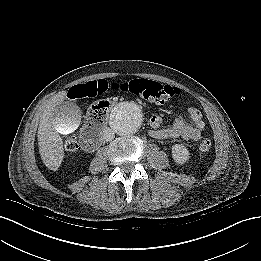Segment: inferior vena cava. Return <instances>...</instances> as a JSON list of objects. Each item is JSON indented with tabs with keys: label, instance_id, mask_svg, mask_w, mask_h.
<instances>
[{
	"label": "inferior vena cava",
	"instance_id": "602c4592",
	"mask_svg": "<svg viewBox=\"0 0 261 261\" xmlns=\"http://www.w3.org/2000/svg\"><path fill=\"white\" fill-rule=\"evenodd\" d=\"M115 137V133L111 128H105L103 130V139L106 141H111Z\"/></svg>",
	"mask_w": 261,
	"mask_h": 261
}]
</instances>
